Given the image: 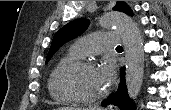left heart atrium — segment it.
Wrapping results in <instances>:
<instances>
[{
	"label": "left heart atrium",
	"instance_id": "obj_1",
	"mask_svg": "<svg viewBox=\"0 0 171 110\" xmlns=\"http://www.w3.org/2000/svg\"><path fill=\"white\" fill-rule=\"evenodd\" d=\"M98 74L106 86H108L115 78L114 66L111 63H105L99 68Z\"/></svg>",
	"mask_w": 171,
	"mask_h": 110
}]
</instances>
